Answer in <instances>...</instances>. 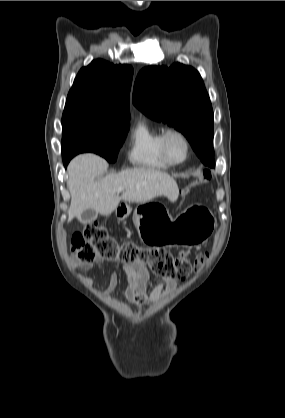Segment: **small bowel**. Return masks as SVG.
<instances>
[{
	"instance_id": "obj_1",
	"label": "small bowel",
	"mask_w": 285,
	"mask_h": 418,
	"mask_svg": "<svg viewBox=\"0 0 285 418\" xmlns=\"http://www.w3.org/2000/svg\"><path fill=\"white\" fill-rule=\"evenodd\" d=\"M104 260L101 257H97L94 264H101ZM71 262L74 267L81 271H90L94 268V264L84 265L77 261L75 256H72ZM123 269L127 275L128 285L125 290V298L130 303L137 306H141L147 300L150 303L157 302L164 294L165 285L164 283L158 284L149 295H147V285L150 279L149 265L146 263H135V264H123ZM84 281L88 286H92L94 279L91 275L85 276ZM119 278L117 274H113L106 287L105 293H112L118 286ZM168 285L173 288L175 283L168 281Z\"/></svg>"
}]
</instances>
